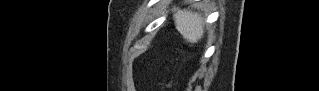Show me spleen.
Returning a JSON list of instances; mask_svg holds the SVG:
<instances>
[{"label":"spleen","mask_w":319,"mask_h":91,"mask_svg":"<svg viewBox=\"0 0 319 91\" xmlns=\"http://www.w3.org/2000/svg\"><path fill=\"white\" fill-rule=\"evenodd\" d=\"M176 29L185 40L197 43L204 34L203 18L197 13L187 10H177L174 14Z\"/></svg>","instance_id":"3e777b00"}]
</instances>
